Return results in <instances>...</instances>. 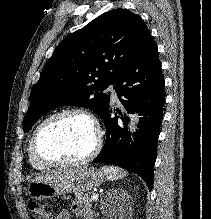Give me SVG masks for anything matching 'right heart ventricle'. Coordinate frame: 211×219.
I'll list each match as a JSON object with an SVG mask.
<instances>
[{"label": "right heart ventricle", "instance_id": "obj_1", "mask_svg": "<svg viewBox=\"0 0 211 219\" xmlns=\"http://www.w3.org/2000/svg\"><path fill=\"white\" fill-rule=\"evenodd\" d=\"M28 159H29V162L31 164V166L37 170H45L47 167L41 165L40 163H38L34 158L33 156L31 155L30 153V149H29V146H28Z\"/></svg>", "mask_w": 211, "mask_h": 219}]
</instances>
